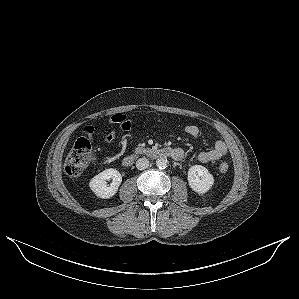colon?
I'll list each match as a JSON object with an SVG mask.
<instances>
[{"label": "colon", "mask_w": 299, "mask_h": 299, "mask_svg": "<svg viewBox=\"0 0 299 299\" xmlns=\"http://www.w3.org/2000/svg\"><path fill=\"white\" fill-rule=\"evenodd\" d=\"M93 159L91 143L86 138H80L65 159L64 169L70 177L81 176ZM229 165L223 162L219 166L222 173H226Z\"/></svg>", "instance_id": "1"}]
</instances>
